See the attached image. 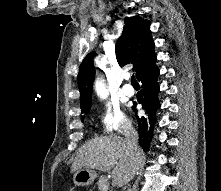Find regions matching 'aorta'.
<instances>
[{
	"instance_id": "aorta-1",
	"label": "aorta",
	"mask_w": 221,
	"mask_h": 191,
	"mask_svg": "<svg viewBox=\"0 0 221 191\" xmlns=\"http://www.w3.org/2000/svg\"><path fill=\"white\" fill-rule=\"evenodd\" d=\"M94 87H95L97 95L100 98L104 99L108 96V91H107V88L103 79H97L95 81Z\"/></svg>"
}]
</instances>
